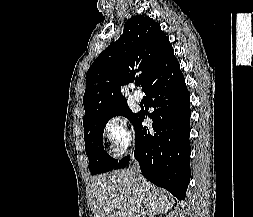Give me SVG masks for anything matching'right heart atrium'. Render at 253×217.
<instances>
[{
	"label": "right heart atrium",
	"mask_w": 253,
	"mask_h": 217,
	"mask_svg": "<svg viewBox=\"0 0 253 217\" xmlns=\"http://www.w3.org/2000/svg\"><path fill=\"white\" fill-rule=\"evenodd\" d=\"M103 135L116 157L124 154L132 141L128 120L122 115H113L107 119L103 126Z\"/></svg>",
	"instance_id": "right-heart-atrium-1"
}]
</instances>
